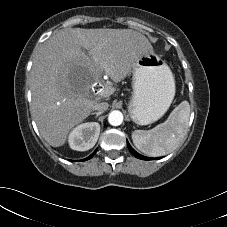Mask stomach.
<instances>
[{"instance_id": "stomach-1", "label": "stomach", "mask_w": 227, "mask_h": 227, "mask_svg": "<svg viewBox=\"0 0 227 227\" xmlns=\"http://www.w3.org/2000/svg\"><path fill=\"white\" fill-rule=\"evenodd\" d=\"M132 73L130 118L138 125L153 123L165 114L174 99L173 74L155 53L141 55L133 64Z\"/></svg>"}]
</instances>
